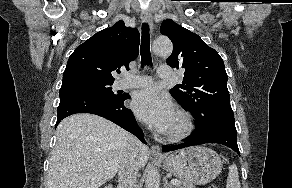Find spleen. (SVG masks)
I'll use <instances>...</instances> for the list:
<instances>
[{"label":"spleen","mask_w":292,"mask_h":188,"mask_svg":"<svg viewBox=\"0 0 292 188\" xmlns=\"http://www.w3.org/2000/svg\"><path fill=\"white\" fill-rule=\"evenodd\" d=\"M226 188H240L238 169L234 163L229 167Z\"/></svg>","instance_id":"obj_1"}]
</instances>
